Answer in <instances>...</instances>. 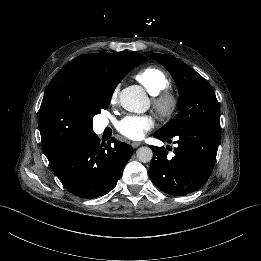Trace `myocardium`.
<instances>
[{
    "label": "myocardium",
    "mask_w": 261,
    "mask_h": 261,
    "mask_svg": "<svg viewBox=\"0 0 261 261\" xmlns=\"http://www.w3.org/2000/svg\"><path fill=\"white\" fill-rule=\"evenodd\" d=\"M154 106L163 119H169L178 106L176 96L170 91H162L154 100Z\"/></svg>",
    "instance_id": "myocardium-1"
}]
</instances>
